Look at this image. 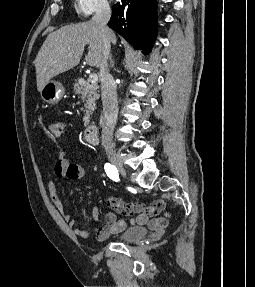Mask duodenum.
<instances>
[{"mask_svg": "<svg viewBox=\"0 0 255 287\" xmlns=\"http://www.w3.org/2000/svg\"><path fill=\"white\" fill-rule=\"evenodd\" d=\"M83 137L86 143L94 145L97 142V127L89 125L84 129Z\"/></svg>", "mask_w": 255, "mask_h": 287, "instance_id": "obj_1", "label": "duodenum"}]
</instances>
